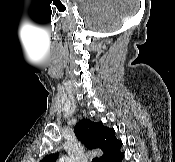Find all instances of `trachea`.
<instances>
[{"label":"trachea","instance_id":"obj_1","mask_svg":"<svg viewBox=\"0 0 175 162\" xmlns=\"http://www.w3.org/2000/svg\"><path fill=\"white\" fill-rule=\"evenodd\" d=\"M92 162H98V158H94Z\"/></svg>","mask_w":175,"mask_h":162}]
</instances>
